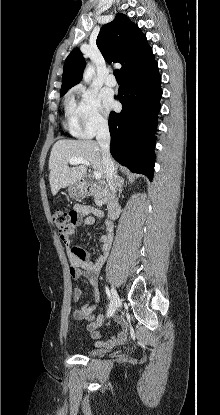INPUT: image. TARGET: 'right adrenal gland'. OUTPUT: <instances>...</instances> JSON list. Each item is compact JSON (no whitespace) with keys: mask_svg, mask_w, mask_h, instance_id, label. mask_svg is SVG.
Here are the masks:
<instances>
[{"mask_svg":"<svg viewBox=\"0 0 220 415\" xmlns=\"http://www.w3.org/2000/svg\"><path fill=\"white\" fill-rule=\"evenodd\" d=\"M115 178H116V179H121V180H122V178L118 176L117 171H115Z\"/></svg>","mask_w":220,"mask_h":415,"instance_id":"obj_1","label":"right adrenal gland"}]
</instances>
